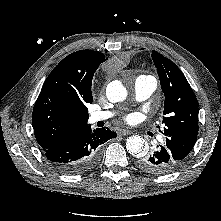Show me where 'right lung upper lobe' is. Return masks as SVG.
Here are the masks:
<instances>
[{
	"label": "right lung upper lobe",
	"mask_w": 221,
	"mask_h": 221,
	"mask_svg": "<svg viewBox=\"0 0 221 221\" xmlns=\"http://www.w3.org/2000/svg\"><path fill=\"white\" fill-rule=\"evenodd\" d=\"M105 60L101 52L80 50L65 57L49 74L32 114L34 134L42 149L87 125L92 79Z\"/></svg>",
	"instance_id": "1"
}]
</instances>
